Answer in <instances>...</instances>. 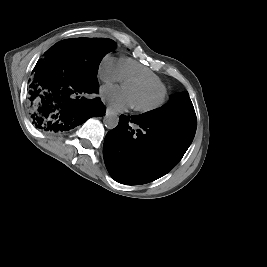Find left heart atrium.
<instances>
[{
  "mask_svg": "<svg viewBox=\"0 0 267 267\" xmlns=\"http://www.w3.org/2000/svg\"><path fill=\"white\" fill-rule=\"evenodd\" d=\"M101 97L115 111H123L133 105L132 96L127 88L104 86L101 89Z\"/></svg>",
  "mask_w": 267,
  "mask_h": 267,
  "instance_id": "obj_1",
  "label": "left heart atrium"
}]
</instances>
